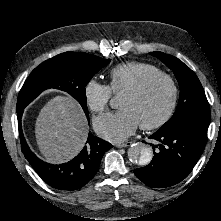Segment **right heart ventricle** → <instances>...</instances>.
Wrapping results in <instances>:
<instances>
[{
    "label": "right heart ventricle",
    "mask_w": 221,
    "mask_h": 221,
    "mask_svg": "<svg viewBox=\"0 0 221 221\" xmlns=\"http://www.w3.org/2000/svg\"><path fill=\"white\" fill-rule=\"evenodd\" d=\"M160 70L150 63L129 61L114 66L109 73V88L112 93L126 91L143 78Z\"/></svg>",
    "instance_id": "1"
}]
</instances>
